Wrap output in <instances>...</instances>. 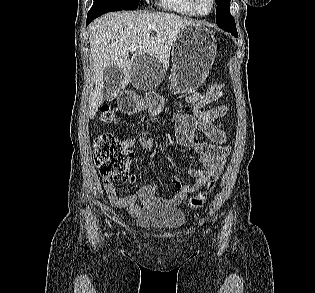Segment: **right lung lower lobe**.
<instances>
[{
	"label": "right lung lower lobe",
	"mask_w": 315,
	"mask_h": 293,
	"mask_svg": "<svg viewBox=\"0 0 315 293\" xmlns=\"http://www.w3.org/2000/svg\"><path fill=\"white\" fill-rule=\"evenodd\" d=\"M120 10L125 9L108 2L94 3L91 10L88 12L86 25H88L93 19L97 18L98 16H101L102 14Z\"/></svg>",
	"instance_id": "98d812e1"
}]
</instances>
